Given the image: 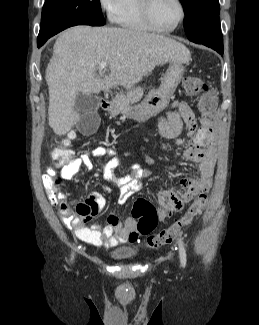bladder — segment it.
<instances>
[{
  "label": "bladder",
  "mask_w": 259,
  "mask_h": 325,
  "mask_svg": "<svg viewBox=\"0 0 259 325\" xmlns=\"http://www.w3.org/2000/svg\"><path fill=\"white\" fill-rule=\"evenodd\" d=\"M137 251L132 246H120L110 251V256L115 260H127L136 256Z\"/></svg>",
  "instance_id": "bladder-1"
}]
</instances>
